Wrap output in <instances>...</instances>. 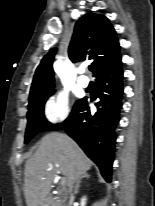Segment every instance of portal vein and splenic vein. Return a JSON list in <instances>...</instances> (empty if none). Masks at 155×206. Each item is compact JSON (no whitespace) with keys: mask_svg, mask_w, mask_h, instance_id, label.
Segmentation results:
<instances>
[{"mask_svg":"<svg viewBox=\"0 0 155 206\" xmlns=\"http://www.w3.org/2000/svg\"><path fill=\"white\" fill-rule=\"evenodd\" d=\"M66 184L65 178H61V185L64 186Z\"/></svg>","mask_w":155,"mask_h":206,"instance_id":"obj_1","label":"portal vein and splenic vein"}]
</instances>
